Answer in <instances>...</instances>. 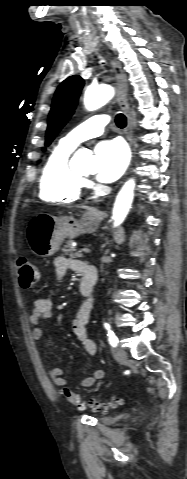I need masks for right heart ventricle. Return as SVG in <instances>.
I'll list each match as a JSON object with an SVG mask.
<instances>
[{"instance_id": "e07e8e85", "label": "right heart ventricle", "mask_w": 187, "mask_h": 479, "mask_svg": "<svg viewBox=\"0 0 187 479\" xmlns=\"http://www.w3.org/2000/svg\"><path fill=\"white\" fill-rule=\"evenodd\" d=\"M74 147L61 140L48 155L39 179V196L51 203H72L79 199L83 187L80 174L69 164Z\"/></svg>"}]
</instances>
